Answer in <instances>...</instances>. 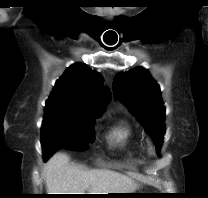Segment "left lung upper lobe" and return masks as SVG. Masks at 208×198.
<instances>
[{
  "label": "left lung upper lobe",
  "instance_id": "5c2ea615",
  "mask_svg": "<svg viewBox=\"0 0 208 198\" xmlns=\"http://www.w3.org/2000/svg\"><path fill=\"white\" fill-rule=\"evenodd\" d=\"M114 88L131 113L141 122L158 152L165 134V107L159 85L141 67L114 78Z\"/></svg>",
  "mask_w": 208,
  "mask_h": 198
}]
</instances>
